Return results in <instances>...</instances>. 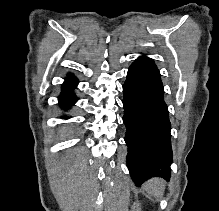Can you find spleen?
Instances as JSON below:
<instances>
[{"label": "spleen", "mask_w": 219, "mask_h": 211, "mask_svg": "<svg viewBox=\"0 0 219 211\" xmlns=\"http://www.w3.org/2000/svg\"><path fill=\"white\" fill-rule=\"evenodd\" d=\"M144 187L147 193H150V195L160 197L164 191V181L163 179H159V177H153V179H150V181H146V183H144Z\"/></svg>", "instance_id": "obj_1"}]
</instances>
